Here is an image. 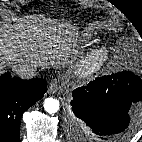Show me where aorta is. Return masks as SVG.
I'll return each instance as SVG.
<instances>
[{
	"mask_svg": "<svg viewBox=\"0 0 142 142\" xmlns=\"http://www.w3.org/2000/svg\"><path fill=\"white\" fill-rule=\"evenodd\" d=\"M44 109L50 114L56 113L60 108V103L55 98H46L43 103Z\"/></svg>",
	"mask_w": 142,
	"mask_h": 142,
	"instance_id": "aorta-1",
	"label": "aorta"
}]
</instances>
